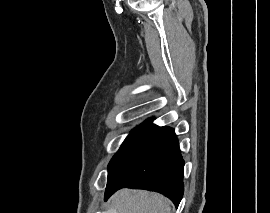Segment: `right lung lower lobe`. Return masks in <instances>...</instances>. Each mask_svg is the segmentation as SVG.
Instances as JSON below:
<instances>
[{
    "instance_id": "1",
    "label": "right lung lower lobe",
    "mask_w": 270,
    "mask_h": 213,
    "mask_svg": "<svg viewBox=\"0 0 270 213\" xmlns=\"http://www.w3.org/2000/svg\"><path fill=\"white\" fill-rule=\"evenodd\" d=\"M183 172L184 160L174 129L147 120L110 162L105 200L128 187L162 193L177 207L184 192Z\"/></svg>"
}]
</instances>
